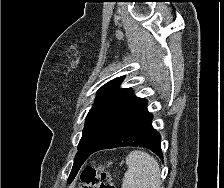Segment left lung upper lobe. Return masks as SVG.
<instances>
[{
  "mask_svg": "<svg viewBox=\"0 0 224 188\" xmlns=\"http://www.w3.org/2000/svg\"><path fill=\"white\" fill-rule=\"evenodd\" d=\"M122 80L123 77L116 78L99 89L95 104L86 117L75 159L81 161L94 150L121 115L139 99L133 95L132 89H119ZM77 168L75 166L72 171L78 170Z\"/></svg>",
  "mask_w": 224,
  "mask_h": 188,
  "instance_id": "left-lung-upper-lobe-1",
  "label": "left lung upper lobe"
}]
</instances>
